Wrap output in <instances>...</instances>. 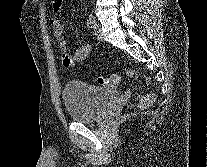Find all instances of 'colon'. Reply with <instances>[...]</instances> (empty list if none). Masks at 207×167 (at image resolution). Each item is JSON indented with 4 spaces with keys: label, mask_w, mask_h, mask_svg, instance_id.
<instances>
[{
    "label": "colon",
    "mask_w": 207,
    "mask_h": 167,
    "mask_svg": "<svg viewBox=\"0 0 207 167\" xmlns=\"http://www.w3.org/2000/svg\"><path fill=\"white\" fill-rule=\"evenodd\" d=\"M127 74L130 77H132L134 75L132 70H129L127 72ZM120 81H121L120 75H113V76H109V77H99L98 78V83L100 85L108 86V87H114V86L118 85L120 83ZM154 101H155L154 94H152V93L146 94L141 97V99L138 103V107L139 108H147V107L151 106Z\"/></svg>",
    "instance_id": "obj_1"
}]
</instances>
